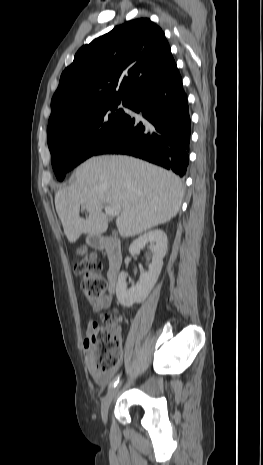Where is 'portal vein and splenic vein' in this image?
Masks as SVG:
<instances>
[{
  "label": "portal vein and splenic vein",
  "mask_w": 263,
  "mask_h": 465,
  "mask_svg": "<svg viewBox=\"0 0 263 465\" xmlns=\"http://www.w3.org/2000/svg\"><path fill=\"white\" fill-rule=\"evenodd\" d=\"M83 208H85V206L83 205ZM104 211L106 212V214H108L109 216L111 217H116L120 214L121 212V207L116 205V206H109V205H106L104 206Z\"/></svg>",
  "instance_id": "18ae733b"
}]
</instances>
